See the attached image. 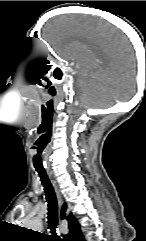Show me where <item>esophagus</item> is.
<instances>
[{"label": "esophagus", "instance_id": "obj_1", "mask_svg": "<svg viewBox=\"0 0 146 241\" xmlns=\"http://www.w3.org/2000/svg\"><path fill=\"white\" fill-rule=\"evenodd\" d=\"M51 181H52L53 187L55 189L59 205H61L62 204V197H61L60 191H59V189H58V187L56 185V182L54 180H51Z\"/></svg>", "mask_w": 146, "mask_h": 241}]
</instances>
